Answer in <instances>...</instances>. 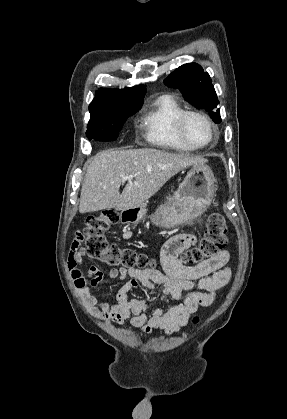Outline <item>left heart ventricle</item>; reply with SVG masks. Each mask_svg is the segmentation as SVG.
<instances>
[{"label":"left heart ventricle","instance_id":"b2bd125f","mask_svg":"<svg viewBox=\"0 0 287 419\" xmlns=\"http://www.w3.org/2000/svg\"><path fill=\"white\" fill-rule=\"evenodd\" d=\"M185 133L190 141L203 144L210 140L211 133L208 126L199 118L191 117L185 125Z\"/></svg>","mask_w":287,"mask_h":419}]
</instances>
